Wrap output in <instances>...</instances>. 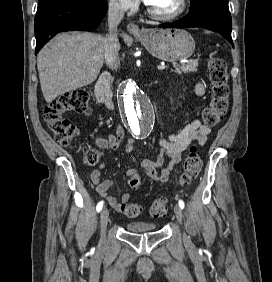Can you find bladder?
<instances>
[{"instance_id":"31cf9c89","label":"bladder","mask_w":272,"mask_h":282,"mask_svg":"<svg viewBox=\"0 0 272 282\" xmlns=\"http://www.w3.org/2000/svg\"><path fill=\"white\" fill-rule=\"evenodd\" d=\"M157 225L152 222L130 221L126 224V229L132 233H145L155 231Z\"/></svg>"}]
</instances>
